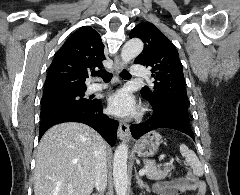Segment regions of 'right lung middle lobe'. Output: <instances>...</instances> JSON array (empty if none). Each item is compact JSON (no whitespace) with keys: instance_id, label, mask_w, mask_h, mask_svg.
<instances>
[{"instance_id":"dd1d6c3e","label":"right lung middle lobe","mask_w":240,"mask_h":195,"mask_svg":"<svg viewBox=\"0 0 240 195\" xmlns=\"http://www.w3.org/2000/svg\"><path fill=\"white\" fill-rule=\"evenodd\" d=\"M86 89L61 91L42 96L41 109L55 106V105H86L90 101L84 99V92Z\"/></svg>"}]
</instances>
